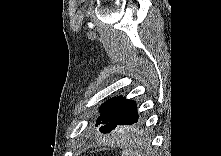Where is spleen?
<instances>
[{
	"mask_svg": "<svg viewBox=\"0 0 221 156\" xmlns=\"http://www.w3.org/2000/svg\"><path fill=\"white\" fill-rule=\"evenodd\" d=\"M128 155H130V152H129V151H124V152L122 153V156H128Z\"/></svg>",
	"mask_w": 221,
	"mask_h": 156,
	"instance_id": "1",
	"label": "spleen"
}]
</instances>
